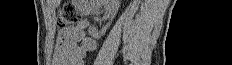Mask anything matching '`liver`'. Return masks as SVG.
Wrapping results in <instances>:
<instances>
[{
    "label": "liver",
    "instance_id": "6515ba94",
    "mask_svg": "<svg viewBox=\"0 0 232 65\" xmlns=\"http://www.w3.org/2000/svg\"><path fill=\"white\" fill-rule=\"evenodd\" d=\"M50 2L55 3V5H58L60 1L59 0H54V1H50Z\"/></svg>",
    "mask_w": 232,
    "mask_h": 65
}]
</instances>
